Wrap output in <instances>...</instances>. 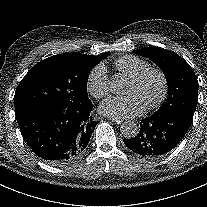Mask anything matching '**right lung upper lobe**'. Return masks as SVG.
<instances>
[{
    "label": "right lung upper lobe",
    "instance_id": "cb5924a9",
    "mask_svg": "<svg viewBox=\"0 0 207 207\" xmlns=\"http://www.w3.org/2000/svg\"><path fill=\"white\" fill-rule=\"evenodd\" d=\"M62 55L73 57L81 63H84V64H87V65L94 67L99 62H101L103 59H105L109 55V53H103V54L97 55V56L81 54L78 52L67 53V54H62Z\"/></svg>",
    "mask_w": 207,
    "mask_h": 207
}]
</instances>
